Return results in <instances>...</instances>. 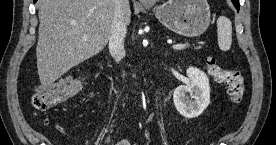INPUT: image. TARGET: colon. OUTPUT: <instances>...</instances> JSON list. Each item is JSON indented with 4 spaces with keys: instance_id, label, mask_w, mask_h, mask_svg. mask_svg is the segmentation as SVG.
Masks as SVG:
<instances>
[{
    "instance_id": "5ec220e1",
    "label": "colon",
    "mask_w": 276,
    "mask_h": 145,
    "mask_svg": "<svg viewBox=\"0 0 276 145\" xmlns=\"http://www.w3.org/2000/svg\"><path fill=\"white\" fill-rule=\"evenodd\" d=\"M209 74L227 88L228 96L234 104H238L245 92V83L239 70L221 67L217 60L209 57L205 60ZM82 90V82L77 78L66 77L50 85L37 86L32 96V106L36 111L43 112L63 105L77 96Z\"/></svg>"
}]
</instances>
